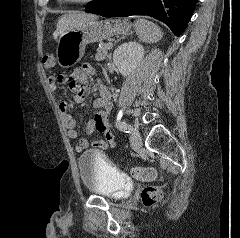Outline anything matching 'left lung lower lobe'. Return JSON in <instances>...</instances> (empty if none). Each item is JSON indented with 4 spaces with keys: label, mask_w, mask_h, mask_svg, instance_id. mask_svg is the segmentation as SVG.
I'll return each instance as SVG.
<instances>
[{
    "label": "left lung lower lobe",
    "mask_w": 240,
    "mask_h": 238,
    "mask_svg": "<svg viewBox=\"0 0 240 238\" xmlns=\"http://www.w3.org/2000/svg\"><path fill=\"white\" fill-rule=\"evenodd\" d=\"M198 0H100L86 9L103 17L147 15L161 20L180 36L194 12Z\"/></svg>",
    "instance_id": "obj_1"
}]
</instances>
